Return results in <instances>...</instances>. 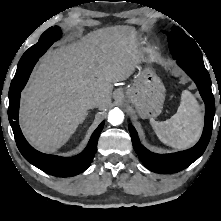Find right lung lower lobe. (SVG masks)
Returning a JSON list of instances; mask_svg holds the SVG:
<instances>
[{
	"mask_svg": "<svg viewBox=\"0 0 221 221\" xmlns=\"http://www.w3.org/2000/svg\"><path fill=\"white\" fill-rule=\"evenodd\" d=\"M42 55L43 54H32L31 56H28L24 54L20 59L18 65H21L24 69L20 73L21 76L19 77H21V79L17 81V84L15 86H10V88L15 90V94L9 96L8 118L13 129L18 149L28 162L50 175L70 177L83 172L89 167L97 150L98 138L103 129L104 122H102L93 132L87 147L79 155L74 157L65 158L43 154L28 144L18 124L20 93L25 86L35 63Z\"/></svg>",
	"mask_w": 221,
	"mask_h": 221,
	"instance_id": "98d812e1",
	"label": "right lung lower lobe"
}]
</instances>
